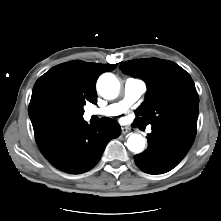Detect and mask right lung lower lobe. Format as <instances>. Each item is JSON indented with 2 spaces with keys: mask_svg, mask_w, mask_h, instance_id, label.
Segmentation results:
<instances>
[{
  "mask_svg": "<svg viewBox=\"0 0 221 221\" xmlns=\"http://www.w3.org/2000/svg\"><path fill=\"white\" fill-rule=\"evenodd\" d=\"M120 133V126L110 118H102L93 126L83 118H67L35 133V139L43 156L54 167L81 174L99 162L107 143Z\"/></svg>",
  "mask_w": 221,
  "mask_h": 221,
  "instance_id": "98d812e1",
  "label": "right lung lower lobe"
}]
</instances>
